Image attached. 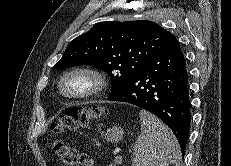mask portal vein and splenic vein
<instances>
[{
	"instance_id": "1",
	"label": "portal vein and splenic vein",
	"mask_w": 231,
	"mask_h": 166,
	"mask_svg": "<svg viewBox=\"0 0 231 166\" xmlns=\"http://www.w3.org/2000/svg\"><path fill=\"white\" fill-rule=\"evenodd\" d=\"M115 161H117L118 163H120L122 161V157L120 155L115 157Z\"/></svg>"
}]
</instances>
